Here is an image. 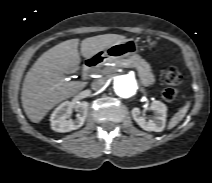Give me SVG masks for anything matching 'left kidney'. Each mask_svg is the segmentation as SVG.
I'll return each instance as SVG.
<instances>
[{
	"instance_id": "1",
	"label": "left kidney",
	"mask_w": 212,
	"mask_h": 183,
	"mask_svg": "<svg viewBox=\"0 0 212 183\" xmlns=\"http://www.w3.org/2000/svg\"><path fill=\"white\" fill-rule=\"evenodd\" d=\"M150 108L154 111L153 119L147 121L145 117L141 115V111L137 107L133 108L131 111L133 119L142 129L146 131H163L166 124V105L160 101H154Z\"/></svg>"
}]
</instances>
